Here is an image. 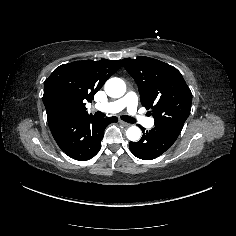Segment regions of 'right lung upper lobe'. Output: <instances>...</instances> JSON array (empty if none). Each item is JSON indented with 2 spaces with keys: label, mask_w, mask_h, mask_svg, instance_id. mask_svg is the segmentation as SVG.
Masks as SVG:
<instances>
[{
  "label": "right lung upper lobe",
  "mask_w": 236,
  "mask_h": 236,
  "mask_svg": "<svg viewBox=\"0 0 236 236\" xmlns=\"http://www.w3.org/2000/svg\"><path fill=\"white\" fill-rule=\"evenodd\" d=\"M122 61H76L57 67L44 82L43 102L49 125L88 115L86 102L120 69Z\"/></svg>",
  "instance_id": "obj_1"
}]
</instances>
